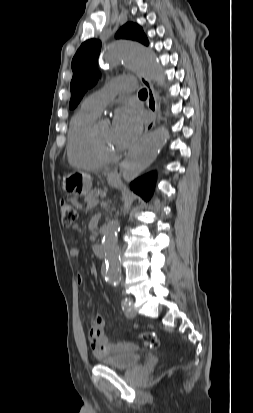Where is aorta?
<instances>
[{"label":"aorta","instance_id":"obj_1","mask_svg":"<svg viewBox=\"0 0 253 413\" xmlns=\"http://www.w3.org/2000/svg\"><path fill=\"white\" fill-rule=\"evenodd\" d=\"M104 60L109 63L123 62L128 68L138 71L160 85L165 84L163 70L156 55L143 44L132 40H119L107 46ZM169 138L165 128H159L145 136L133 149L123 164L122 176L126 182L134 180L157 157L160 149ZM119 223L111 220L103 231L102 244L105 252L107 281L116 286L120 280L121 266L117 240Z\"/></svg>","mask_w":253,"mask_h":413}]
</instances>
